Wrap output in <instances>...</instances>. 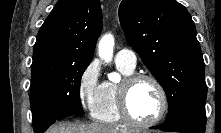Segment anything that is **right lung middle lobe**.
<instances>
[{
	"mask_svg": "<svg viewBox=\"0 0 221 133\" xmlns=\"http://www.w3.org/2000/svg\"><path fill=\"white\" fill-rule=\"evenodd\" d=\"M89 64H66L31 73L32 121L42 116L62 119L70 114L83 115L80 81Z\"/></svg>",
	"mask_w": 221,
	"mask_h": 133,
	"instance_id": "right-lung-middle-lobe-1",
	"label": "right lung middle lobe"
}]
</instances>
